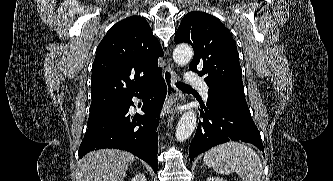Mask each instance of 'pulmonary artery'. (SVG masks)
<instances>
[{"mask_svg":"<svg viewBox=\"0 0 333 181\" xmlns=\"http://www.w3.org/2000/svg\"><path fill=\"white\" fill-rule=\"evenodd\" d=\"M185 80L188 84L199 87L204 99L208 98V86L201 76L194 72H189L185 75Z\"/></svg>","mask_w":333,"mask_h":181,"instance_id":"pulmonary-artery-1","label":"pulmonary artery"}]
</instances>
